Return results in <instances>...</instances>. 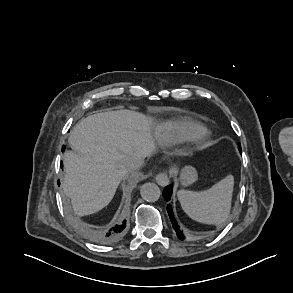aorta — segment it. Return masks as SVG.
<instances>
[{"mask_svg": "<svg viewBox=\"0 0 293 293\" xmlns=\"http://www.w3.org/2000/svg\"><path fill=\"white\" fill-rule=\"evenodd\" d=\"M141 197L147 202H155L161 195L160 188L155 183H145L140 188Z\"/></svg>", "mask_w": 293, "mask_h": 293, "instance_id": "aorta-1", "label": "aorta"}]
</instances>
